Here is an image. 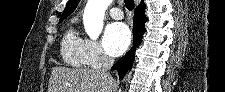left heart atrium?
I'll return each mask as SVG.
<instances>
[{"mask_svg":"<svg viewBox=\"0 0 225 92\" xmlns=\"http://www.w3.org/2000/svg\"><path fill=\"white\" fill-rule=\"evenodd\" d=\"M131 40V32L127 25L115 22L106 27L103 46L110 56H119L127 49Z\"/></svg>","mask_w":225,"mask_h":92,"instance_id":"1","label":"left heart atrium"}]
</instances>
